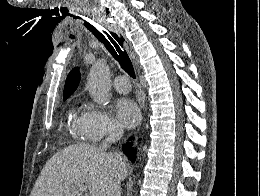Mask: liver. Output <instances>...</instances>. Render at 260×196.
<instances>
[{
  "label": "liver",
  "instance_id": "liver-1",
  "mask_svg": "<svg viewBox=\"0 0 260 196\" xmlns=\"http://www.w3.org/2000/svg\"><path fill=\"white\" fill-rule=\"evenodd\" d=\"M127 170L116 152L106 154L91 144H73L46 162L30 196H78L79 184H87L90 196H111Z\"/></svg>",
  "mask_w": 260,
  "mask_h": 196
}]
</instances>
